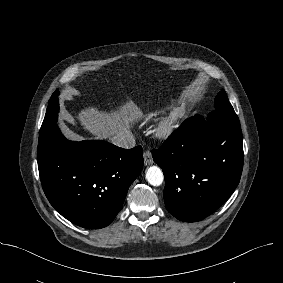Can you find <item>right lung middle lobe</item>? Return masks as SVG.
<instances>
[{
	"label": "right lung middle lobe",
	"mask_w": 283,
	"mask_h": 283,
	"mask_svg": "<svg viewBox=\"0 0 283 283\" xmlns=\"http://www.w3.org/2000/svg\"><path fill=\"white\" fill-rule=\"evenodd\" d=\"M58 96L59 92L55 91L49 100V105L39 133V144L44 142L49 133L56 126L58 118L57 113L59 112Z\"/></svg>",
	"instance_id": "right-lung-middle-lobe-1"
}]
</instances>
